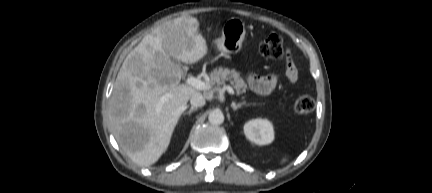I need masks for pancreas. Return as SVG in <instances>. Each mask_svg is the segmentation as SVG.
<instances>
[{"mask_svg": "<svg viewBox=\"0 0 432 193\" xmlns=\"http://www.w3.org/2000/svg\"><path fill=\"white\" fill-rule=\"evenodd\" d=\"M212 83L217 85H224L226 81H230L237 95L243 94L247 90V84L234 69L219 67L213 70L210 74Z\"/></svg>", "mask_w": 432, "mask_h": 193, "instance_id": "obj_1", "label": "pancreas"}]
</instances>
